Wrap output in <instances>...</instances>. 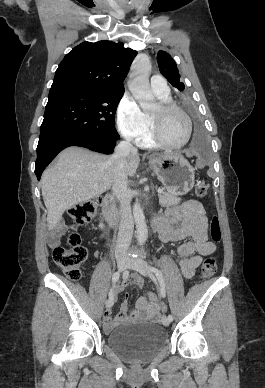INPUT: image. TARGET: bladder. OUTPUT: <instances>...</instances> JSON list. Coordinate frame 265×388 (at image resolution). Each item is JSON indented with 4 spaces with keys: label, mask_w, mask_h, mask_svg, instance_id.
<instances>
[{
    "label": "bladder",
    "mask_w": 265,
    "mask_h": 388,
    "mask_svg": "<svg viewBox=\"0 0 265 388\" xmlns=\"http://www.w3.org/2000/svg\"><path fill=\"white\" fill-rule=\"evenodd\" d=\"M168 340L166 330L156 322L122 326L107 335V346L130 361H146L155 355Z\"/></svg>",
    "instance_id": "bladder-1"
}]
</instances>
